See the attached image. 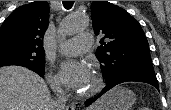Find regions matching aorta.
<instances>
[{
	"label": "aorta",
	"mask_w": 171,
	"mask_h": 110,
	"mask_svg": "<svg viewBox=\"0 0 171 110\" xmlns=\"http://www.w3.org/2000/svg\"><path fill=\"white\" fill-rule=\"evenodd\" d=\"M89 24L90 20L88 16L84 14H72L62 21L60 31L64 35H71L86 29Z\"/></svg>",
	"instance_id": "762f6f07"
}]
</instances>
